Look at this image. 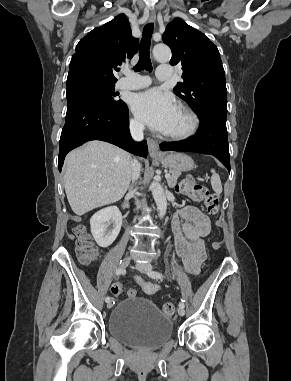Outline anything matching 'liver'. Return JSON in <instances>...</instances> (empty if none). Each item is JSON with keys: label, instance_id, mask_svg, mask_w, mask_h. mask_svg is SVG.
<instances>
[{"label": "liver", "instance_id": "obj_1", "mask_svg": "<svg viewBox=\"0 0 291 381\" xmlns=\"http://www.w3.org/2000/svg\"><path fill=\"white\" fill-rule=\"evenodd\" d=\"M131 156L103 141H91L65 158L64 186L73 212L81 216L123 198L131 180Z\"/></svg>", "mask_w": 291, "mask_h": 381}]
</instances>
